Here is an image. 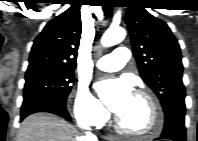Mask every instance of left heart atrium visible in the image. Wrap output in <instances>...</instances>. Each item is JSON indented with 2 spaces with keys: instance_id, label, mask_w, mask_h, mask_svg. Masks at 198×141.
<instances>
[{
  "instance_id": "1",
  "label": "left heart atrium",
  "mask_w": 198,
  "mask_h": 141,
  "mask_svg": "<svg viewBox=\"0 0 198 141\" xmlns=\"http://www.w3.org/2000/svg\"><path fill=\"white\" fill-rule=\"evenodd\" d=\"M96 92L110 111L119 115L133 97L131 83L126 79L109 78L95 85Z\"/></svg>"
}]
</instances>
